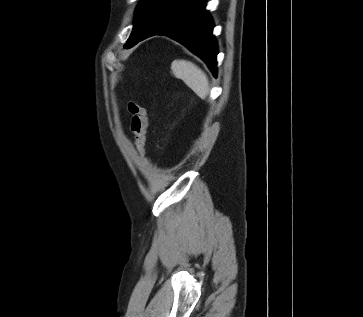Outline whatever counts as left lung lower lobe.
<instances>
[{
	"label": "left lung lower lobe",
	"instance_id": "1",
	"mask_svg": "<svg viewBox=\"0 0 363 317\" xmlns=\"http://www.w3.org/2000/svg\"><path fill=\"white\" fill-rule=\"evenodd\" d=\"M205 6V0H158L145 31L136 44L156 34L167 35L205 61L216 77L218 48L212 35L213 21Z\"/></svg>",
	"mask_w": 363,
	"mask_h": 317
}]
</instances>
